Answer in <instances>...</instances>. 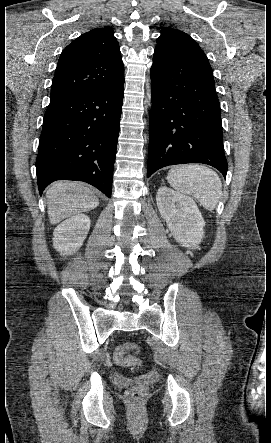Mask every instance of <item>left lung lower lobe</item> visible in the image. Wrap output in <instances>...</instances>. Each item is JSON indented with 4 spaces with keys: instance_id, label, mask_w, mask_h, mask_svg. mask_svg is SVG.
<instances>
[{
    "instance_id": "0a47b994",
    "label": "left lung lower lobe",
    "mask_w": 271,
    "mask_h": 443,
    "mask_svg": "<svg viewBox=\"0 0 271 443\" xmlns=\"http://www.w3.org/2000/svg\"><path fill=\"white\" fill-rule=\"evenodd\" d=\"M150 74L147 177L185 163L211 165L225 177L220 103L208 60L155 49Z\"/></svg>"
}]
</instances>
